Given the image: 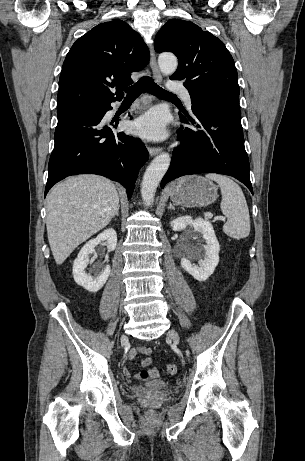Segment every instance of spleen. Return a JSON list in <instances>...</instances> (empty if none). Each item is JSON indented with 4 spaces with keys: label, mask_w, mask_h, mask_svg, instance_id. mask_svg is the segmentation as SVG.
I'll return each instance as SVG.
<instances>
[{
    "label": "spleen",
    "mask_w": 305,
    "mask_h": 461,
    "mask_svg": "<svg viewBox=\"0 0 305 461\" xmlns=\"http://www.w3.org/2000/svg\"><path fill=\"white\" fill-rule=\"evenodd\" d=\"M206 179L218 183L221 194V211L227 217L223 231L234 239H244L250 233V216L245 196L240 186L220 174H206Z\"/></svg>",
    "instance_id": "1"
}]
</instances>
